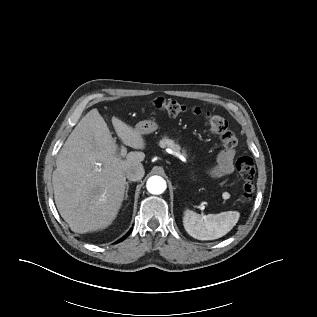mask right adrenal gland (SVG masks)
Instances as JSON below:
<instances>
[{
  "label": "right adrenal gland",
  "instance_id": "obj_1",
  "mask_svg": "<svg viewBox=\"0 0 317 317\" xmlns=\"http://www.w3.org/2000/svg\"><path fill=\"white\" fill-rule=\"evenodd\" d=\"M128 190H129V184L127 182V184H126V192H125V199L128 198Z\"/></svg>",
  "mask_w": 317,
  "mask_h": 317
}]
</instances>
